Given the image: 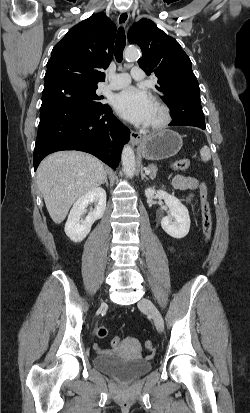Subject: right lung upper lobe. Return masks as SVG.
<instances>
[{"label": "right lung upper lobe", "mask_w": 250, "mask_h": 413, "mask_svg": "<svg viewBox=\"0 0 250 413\" xmlns=\"http://www.w3.org/2000/svg\"><path fill=\"white\" fill-rule=\"evenodd\" d=\"M116 25L98 13L71 28L52 50L43 94L67 86L97 87L112 60Z\"/></svg>", "instance_id": "cb5924a9"}]
</instances>
